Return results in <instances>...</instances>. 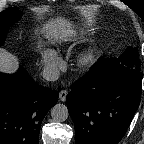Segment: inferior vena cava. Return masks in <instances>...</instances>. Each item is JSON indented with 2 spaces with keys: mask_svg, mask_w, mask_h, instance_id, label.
Masks as SVG:
<instances>
[{
  "mask_svg": "<svg viewBox=\"0 0 144 144\" xmlns=\"http://www.w3.org/2000/svg\"><path fill=\"white\" fill-rule=\"evenodd\" d=\"M42 75L47 81H56L60 76V72L56 67H46L44 68Z\"/></svg>",
  "mask_w": 144,
  "mask_h": 144,
  "instance_id": "1",
  "label": "inferior vena cava"
}]
</instances>
